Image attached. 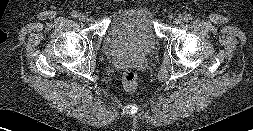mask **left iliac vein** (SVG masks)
I'll use <instances>...</instances> for the list:
<instances>
[{"label":"left iliac vein","instance_id":"1","mask_svg":"<svg viewBox=\"0 0 253 131\" xmlns=\"http://www.w3.org/2000/svg\"><path fill=\"white\" fill-rule=\"evenodd\" d=\"M183 22V18L181 16L175 17L173 20L174 24H180Z\"/></svg>","mask_w":253,"mask_h":131}]
</instances>
